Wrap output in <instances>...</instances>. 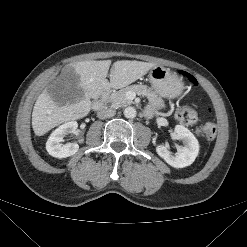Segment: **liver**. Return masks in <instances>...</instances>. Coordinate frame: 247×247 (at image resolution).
<instances>
[{"label":"liver","instance_id":"obj_1","mask_svg":"<svg viewBox=\"0 0 247 247\" xmlns=\"http://www.w3.org/2000/svg\"><path fill=\"white\" fill-rule=\"evenodd\" d=\"M111 60L80 61L66 66L62 74L71 79L77 90L75 99L67 101L65 95L52 98L45 89L37 98L32 112V128L35 135L42 136L63 122L85 117L91 110V98L97 99L105 92L120 89L144 76L156 65L142 61L120 60L113 63L110 82L106 79ZM78 78L75 82V78Z\"/></svg>","mask_w":247,"mask_h":247}]
</instances>
